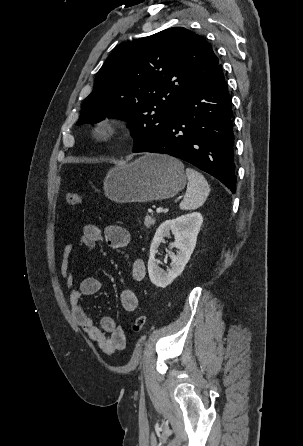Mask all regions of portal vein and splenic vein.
<instances>
[{"mask_svg": "<svg viewBox=\"0 0 303 446\" xmlns=\"http://www.w3.org/2000/svg\"><path fill=\"white\" fill-rule=\"evenodd\" d=\"M163 211V208L162 207H158L157 209H156V212L157 213H161Z\"/></svg>", "mask_w": 303, "mask_h": 446, "instance_id": "1", "label": "portal vein and splenic vein"}]
</instances>
